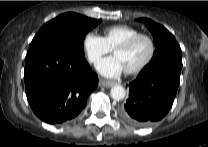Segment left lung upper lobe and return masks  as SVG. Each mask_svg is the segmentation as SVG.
<instances>
[{"instance_id":"1","label":"left lung upper lobe","mask_w":208,"mask_h":147,"mask_svg":"<svg viewBox=\"0 0 208 147\" xmlns=\"http://www.w3.org/2000/svg\"><path fill=\"white\" fill-rule=\"evenodd\" d=\"M138 21L144 22L150 30L156 47L152 60L142 71L164 62L182 67V51L174 36L165 27L150 19L139 18Z\"/></svg>"}]
</instances>
